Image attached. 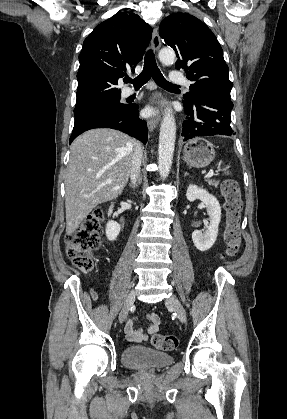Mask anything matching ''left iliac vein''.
<instances>
[{"label": "left iliac vein", "mask_w": 287, "mask_h": 419, "mask_svg": "<svg viewBox=\"0 0 287 419\" xmlns=\"http://www.w3.org/2000/svg\"><path fill=\"white\" fill-rule=\"evenodd\" d=\"M166 306L171 308L176 314L180 322L185 323L187 320L185 309L180 303L179 299L172 295L169 299L166 300Z\"/></svg>", "instance_id": "1"}]
</instances>
